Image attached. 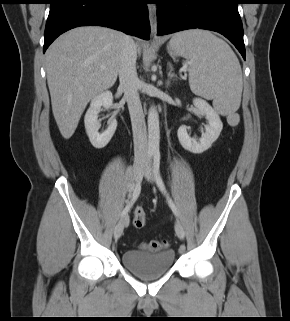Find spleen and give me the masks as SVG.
I'll return each instance as SVG.
<instances>
[{
	"label": "spleen",
	"mask_w": 290,
	"mask_h": 321,
	"mask_svg": "<svg viewBox=\"0 0 290 321\" xmlns=\"http://www.w3.org/2000/svg\"><path fill=\"white\" fill-rule=\"evenodd\" d=\"M170 42L189 61L191 91L213 100L221 115L236 112L243 82L240 63L230 46L211 32L197 29L176 33Z\"/></svg>",
	"instance_id": "1"
}]
</instances>
